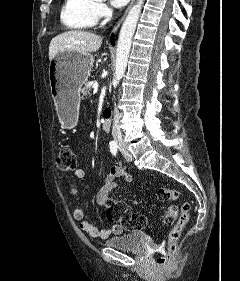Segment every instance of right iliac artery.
<instances>
[{
    "label": "right iliac artery",
    "mask_w": 240,
    "mask_h": 281,
    "mask_svg": "<svg viewBox=\"0 0 240 281\" xmlns=\"http://www.w3.org/2000/svg\"><path fill=\"white\" fill-rule=\"evenodd\" d=\"M110 151H111V153H112L114 156H116L117 151H118V145H117V143H115V142H111V143H110Z\"/></svg>",
    "instance_id": "right-iliac-artery-1"
}]
</instances>
